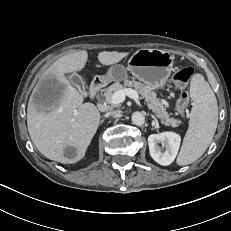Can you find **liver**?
Returning <instances> with one entry per match:
<instances>
[{"label": "liver", "mask_w": 231, "mask_h": 231, "mask_svg": "<svg viewBox=\"0 0 231 231\" xmlns=\"http://www.w3.org/2000/svg\"><path fill=\"white\" fill-rule=\"evenodd\" d=\"M128 52L102 51L98 60L109 66L120 62ZM88 60L85 50L74 51L56 60L38 81L27 107V127L32 142L46 158L63 164L83 158L95 135L100 112L65 77L81 71ZM37 98L35 99V97ZM67 147L75 148L71 158L64 156Z\"/></svg>", "instance_id": "liver-1"}]
</instances>
